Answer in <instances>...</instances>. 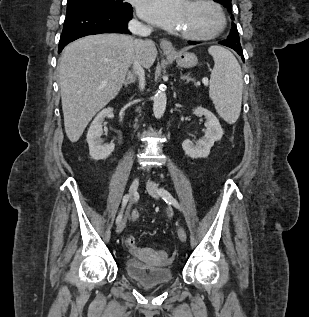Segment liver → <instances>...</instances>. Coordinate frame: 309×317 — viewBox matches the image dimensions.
<instances>
[{"instance_id":"liver-1","label":"liver","mask_w":309,"mask_h":317,"mask_svg":"<svg viewBox=\"0 0 309 317\" xmlns=\"http://www.w3.org/2000/svg\"><path fill=\"white\" fill-rule=\"evenodd\" d=\"M156 55L154 43L143 41V67L150 68ZM134 57V40L120 34L90 35L65 47L58 71L65 132L71 142H77L96 113L117 96Z\"/></svg>"}]
</instances>
